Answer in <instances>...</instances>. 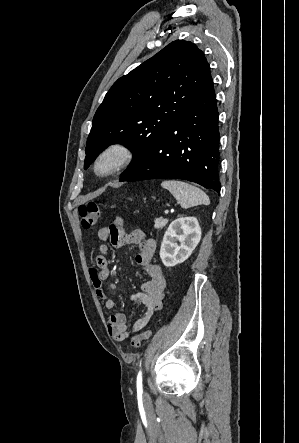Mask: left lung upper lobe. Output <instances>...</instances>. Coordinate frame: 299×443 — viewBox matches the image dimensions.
I'll return each instance as SVG.
<instances>
[{"instance_id": "obj_1", "label": "left lung upper lobe", "mask_w": 299, "mask_h": 443, "mask_svg": "<svg viewBox=\"0 0 299 443\" xmlns=\"http://www.w3.org/2000/svg\"><path fill=\"white\" fill-rule=\"evenodd\" d=\"M212 80L201 50L176 40L119 78L93 118L84 169L108 145L128 143L135 168Z\"/></svg>"}]
</instances>
